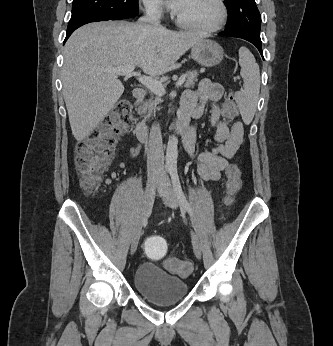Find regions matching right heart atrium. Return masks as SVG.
Returning <instances> with one entry per match:
<instances>
[{
	"instance_id": "1",
	"label": "right heart atrium",
	"mask_w": 333,
	"mask_h": 346,
	"mask_svg": "<svg viewBox=\"0 0 333 346\" xmlns=\"http://www.w3.org/2000/svg\"><path fill=\"white\" fill-rule=\"evenodd\" d=\"M146 13L153 18H161L165 7L162 0H142Z\"/></svg>"
}]
</instances>
